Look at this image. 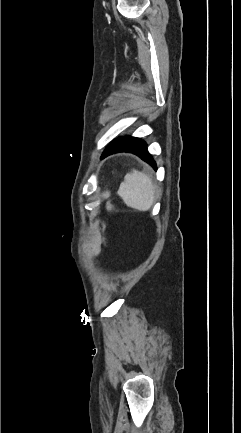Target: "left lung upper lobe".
Here are the masks:
<instances>
[{"mask_svg":"<svg viewBox=\"0 0 241 433\" xmlns=\"http://www.w3.org/2000/svg\"><path fill=\"white\" fill-rule=\"evenodd\" d=\"M139 140V138L136 137H131V136H125V137H120L117 138L116 140H114L113 142H111L107 148L105 149L104 153L115 149L117 147H121V146H125V145H129L130 143H133L135 141Z\"/></svg>","mask_w":241,"mask_h":433,"instance_id":"left-lung-upper-lobe-1","label":"left lung upper lobe"}]
</instances>
